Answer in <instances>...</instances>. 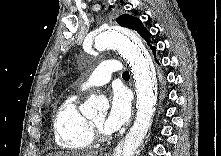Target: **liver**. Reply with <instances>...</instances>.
Instances as JSON below:
<instances>
[{
    "label": "liver",
    "mask_w": 221,
    "mask_h": 156,
    "mask_svg": "<svg viewBox=\"0 0 221 156\" xmlns=\"http://www.w3.org/2000/svg\"><path fill=\"white\" fill-rule=\"evenodd\" d=\"M98 153L96 151H87V152H79V151H59L54 153H49L47 156H97Z\"/></svg>",
    "instance_id": "1"
}]
</instances>
